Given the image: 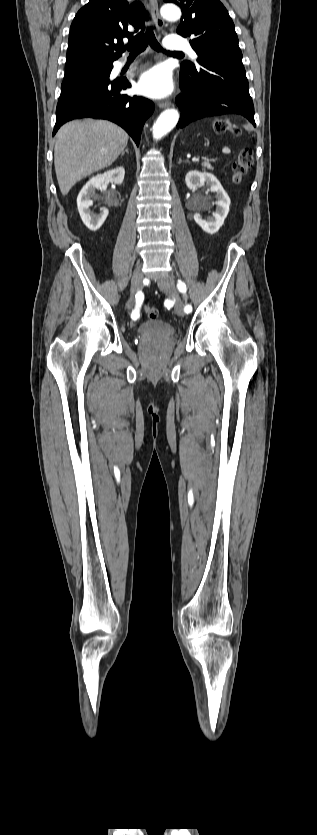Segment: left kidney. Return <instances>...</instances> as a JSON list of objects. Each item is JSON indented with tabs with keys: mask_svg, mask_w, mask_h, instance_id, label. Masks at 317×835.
Returning <instances> with one entry per match:
<instances>
[{
	"mask_svg": "<svg viewBox=\"0 0 317 835\" xmlns=\"http://www.w3.org/2000/svg\"><path fill=\"white\" fill-rule=\"evenodd\" d=\"M185 182L190 190L197 189L200 186H208L211 192L216 193V211L210 218H204L200 213L194 214L195 222L207 233L214 234L223 225L225 218L229 212L230 198L225 192L224 188L217 180V178L208 172H198L196 170L190 171L186 174ZM206 205H200L199 209H206Z\"/></svg>",
	"mask_w": 317,
	"mask_h": 835,
	"instance_id": "1",
	"label": "left kidney"
}]
</instances>
